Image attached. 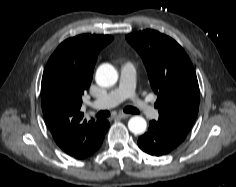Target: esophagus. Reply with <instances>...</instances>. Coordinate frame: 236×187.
<instances>
[{"instance_id": "1", "label": "esophagus", "mask_w": 236, "mask_h": 187, "mask_svg": "<svg viewBox=\"0 0 236 187\" xmlns=\"http://www.w3.org/2000/svg\"><path fill=\"white\" fill-rule=\"evenodd\" d=\"M129 116H130L129 114L119 113L118 115H116V118L125 119L128 118Z\"/></svg>"}]
</instances>
